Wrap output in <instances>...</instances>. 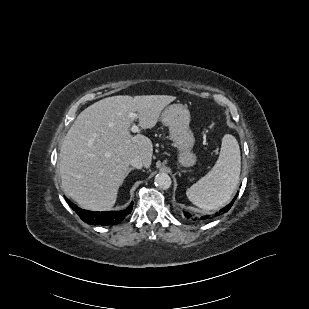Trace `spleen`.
<instances>
[{
	"label": "spleen",
	"instance_id": "3e777b00",
	"mask_svg": "<svg viewBox=\"0 0 309 309\" xmlns=\"http://www.w3.org/2000/svg\"><path fill=\"white\" fill-rule=\"evenodd\" d=\"M240 148L230 134L222 138L221 150L214 167L187 189L188 199L204 210H215L227 203L239 182Z\"/></svg>",
	"mask_w": 309,
	"mask_h": 309
}]
</instances>
